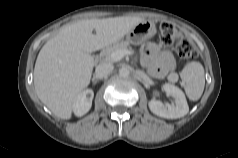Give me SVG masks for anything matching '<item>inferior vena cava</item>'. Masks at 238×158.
<instances>
[{
	"label": "inferior vena cava",
	"instance_id": "inferior-vena-cava-1",
	"mask_svg": "<svg viewBox=\"0 0 238 158\" xmlns=\"http://www.w3.org/2000/svg\"><path fill=\"white\" fill-rule=\"evenodd\" d=\"M113 65L111 63L103 62L96 67V75L98 77H103L113 71Z\"/></svg>",
	"mask_w": 238,
	"mask_h": 158
}]
</instances>
